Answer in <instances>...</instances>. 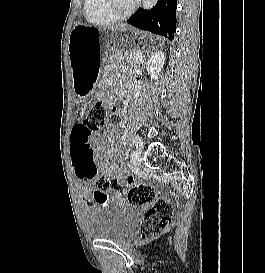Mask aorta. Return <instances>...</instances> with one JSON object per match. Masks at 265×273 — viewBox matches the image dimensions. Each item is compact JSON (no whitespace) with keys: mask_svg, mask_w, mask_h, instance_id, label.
<instances>
[{"mask_svg":"<svg viewBox=\"0 0 265 273\" xmlns=\"http://www.w3.org/2000/svg\"><path fill=\"white\" fill-rule=\"evenodd\" d=\"M158 0H143L142 7L145 10H150L152 9Z\"/></svg>","mask_w":265,"mask_h":273,"instance_id":"762f6f07","label":"aorta"}]
</instances>
